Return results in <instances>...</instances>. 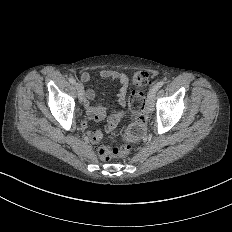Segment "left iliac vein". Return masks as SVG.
Here are the masks:
<instances>
[{"label": "left iliac vein", "instance_id": "obj_1", "mask_svg": "<svg viewBox=\"0 0 232 232\" xmlns=\"http://www.w3.org/2000/svg\"><path fill=\"white\" fill-rule=\"evenodd\" d=\"M154 98H155V93L153 95H150V97L147 99V110L152 113V111L154 110Z\"/></svg>", "mask_w": 232, "mask_h": 232}]
</instances>
